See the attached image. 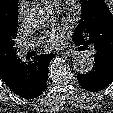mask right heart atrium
<instances>
[{"label":"right heart atrium","instance_id":"d8ad5b80","mask_svg":"<svg viewBox=\"0 0 113 113\" xmlns=\"http://www.w3.org/2000/svg\"><path fill=\"white\" fill-rule=\"evenodd\" d=\"M26 8H27V3L25 0H22V2L19 5L18 8V18L19 21H23L25 18V14H26Z\"/></svg>","mask_w":113,"mask_h":113}]
</instances>
